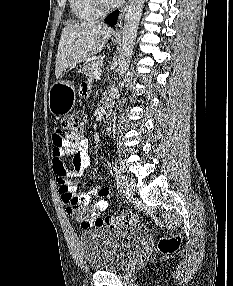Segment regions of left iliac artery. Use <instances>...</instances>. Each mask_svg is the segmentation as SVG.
<instances>
[{
  "instance_id": "44dca946",
  "label": "left iliac artery",
  "mask_w": 233,
  "mask_h": 286,
  "mask_svg": "<svg viewBox=\"0 0 233 286\" xmlns=\"http://www.w3.org/2000/svg\"><path fill=\"white\" fill-rule=\"evenodd\" d=\"M114 172H115V176H116L117 185L119 187L122 176H121V170L119 169V167L116 164L114 166Z\"/></svg>"
}]
</instances>
